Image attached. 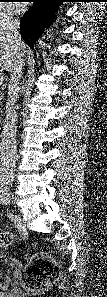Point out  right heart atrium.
<instances>
[{"label": "right heart atrium", "mask_w": 107, "mask_h": 297, "mask_svg": "<svg viewBox=\"0 0 107 297\" xmlns=\"http://www.w3.org/2000/svg\"><path fill=\"white\" fill-rule=\"evenodd\" d=\"M12 18V14L5 8H0V20L2 21H10Z\"/></svg>", "instance_id": "d8ad5b80"}]
</instances>
